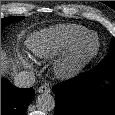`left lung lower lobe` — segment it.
Returning <instances> with one entry per match:
<instances>
[{
    "mask_svg": "<svg viewBox=\"0 0 115 115\" xmlns=\"http://www.w3.org/2000/svg\"><path fill=\"white\" fill-rule=\"evenodd\" d=\"M106 78L112 87L94 89ZM55 115H115V66L98 68L53 87Z\"/></svg>",
    "mask_w": 115,
    "mask_h": 115,
    "instance_id": "obj_1",
    "label": "left lung lower lobe"
}]
</instances>
